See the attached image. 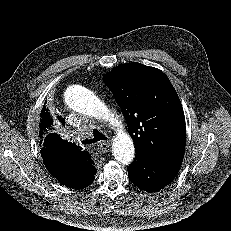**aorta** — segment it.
Segmentation results:
<instances>
[{
	"instance_id": "1",
	"label": "aorta",
	"mask_w": 231,
	"mask_h": 231,
	"mask_svg": "<svg viewBox=\"0 0 231 231\" xmlns=\"http://www.w3.org/2000/svg\"><path fill=\"white\" fill-rule=\"evenodd\" d=\"M64 101L72 110L104 120L117 128V136L112 143L113 155L124 165L133 161L135 148L131 136L123 130L119 118L92 91L81 85H71L64 92Z\"/></svg>"
}]
</instances>
